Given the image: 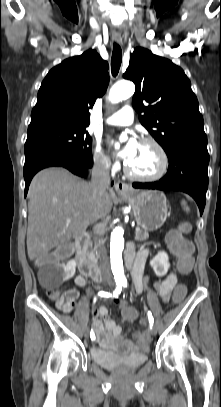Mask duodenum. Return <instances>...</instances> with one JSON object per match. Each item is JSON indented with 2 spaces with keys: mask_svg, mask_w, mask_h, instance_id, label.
<instances>
[{
  "mask_svg": "<svg viewBox=\"0 0 221 407\" xmlns=\"http://www.w3.org/2000/svg\"><path fill=\"white\" fill-rule=\"evenodd\" d=\"M88 238L86 233H81L76 238V258L79 271L82 275L91 277L94 281L102 280L100 269L87 255ZM133 250L130 248L126 251V263L131 266L133 261Z\"/></svg>",
  "mask_w": 221,
  "mask_h": 407,
  "instance_id": "1",
  "label": "duodenum"
}]
</instances>
